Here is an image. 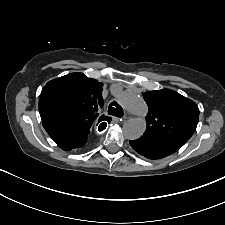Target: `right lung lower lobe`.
<instances>
[{
	"instance_id": "98d812e1",
	"label": "right lung lower lobe",
	"mask_w": 225,
	"mask_h": 225,
	"mask_svg": "<svg viewBox=\"0 0 225 225\" xmlns=\"http://www.w3.org/2000/svg\"><path fill=\"white\" fill-rule=\"evenodd\" d=\"M46 132L64 151H80L87 146L90 127L75 121L63 119H42Z\"/></svg>"
}]
</instances>
